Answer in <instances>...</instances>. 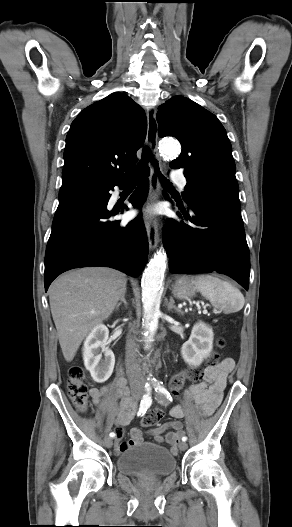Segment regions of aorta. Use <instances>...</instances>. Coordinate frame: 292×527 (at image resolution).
<instances>
[{
	"mask_svg": "<svg viewBox=\"0 0 292 527\" xmlns=\"http://www.w3.org/2000/svg\"><path fill=\"white\" fill-rule=\"evenodd\" d=\"M160 151L165 157L175 158L180 154L181 147L176 140L165 139L160 144ZM165 261L166 255L160 250L150 260L141 280L144 309L143 327L147 339L155 333L158 327L161 287L166 268Z\"/></svg>",
	"mask_w": 292,
	"mask_h": 527,
	"instance_id": "1",
	"label": "aorta"
}]
</instances>
